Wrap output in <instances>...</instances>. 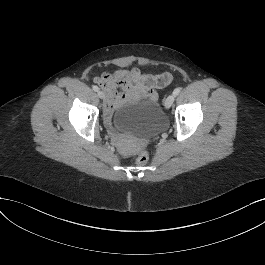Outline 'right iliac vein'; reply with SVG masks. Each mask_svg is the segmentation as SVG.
<instances>
[{
	"label": "right iliac vein",
	"instance_id": "obj_1",
	"mask_svg": "<svg viewBox=\"0 0 265 265\" xmlns=\"http://www.w3.org/2000/svg\"><path fill=\"white\" fill-rule=\"evenodd\" d=\"M98 97L100 98V99H104L105 98V94H104V92H102V91H98Z\"/></svg>",
	"mask_w": 265,
	"mask_h": 265
}]
</instances>
